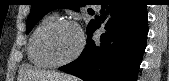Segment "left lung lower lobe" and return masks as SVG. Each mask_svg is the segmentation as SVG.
<instances>
[{"mask_svg":"<svg viewBox=\"0 0 169 81\" xmlns=\"http://www.w3.org/2000/svg\"><path fill=\"white\" fill-rule=\"evenodd\" d=\"M101 6L107 31L100 42L92 40L99 27L94 22L81 55L59 70L85 81H136L148 34L146 4L142 0H102Z\"/></svg>","mask_w":169,"mask_h":81,"instance_id":"0a47b994","label":"left lung lower lobe"}]
</instances>
